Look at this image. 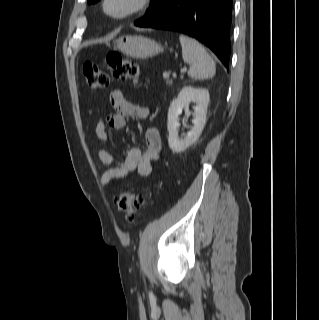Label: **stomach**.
<instances>
[{
	"instance_id": "stomach-1",
	"label": "stomach",
	"mask_w": 319,
	"mask_h": 320,
	"mask_svg": "<svg viewBox=\"0 0 319 320\" xmlns=\"http://www.w3.org/2000/svg\"><path fill=\"white\" fill-rule=\"evenodd\" d=\"M115 44L123 54L136 59L150 58L164 50L155 40L141 35H123L115 41Z\"/></svg>"
}]
</instances>
